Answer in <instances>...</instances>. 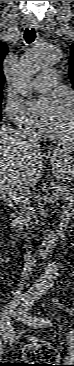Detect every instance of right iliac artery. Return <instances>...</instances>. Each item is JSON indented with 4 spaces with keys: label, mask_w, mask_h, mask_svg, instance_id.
Masks as SVG:
<instances>
[{
    "label": "right iliac artery",
    "mask_w": 74,
    "mask_h": 366,
    "mask_svg": "<svg viewBox=\"0 0 74 366\" xmlns=\"http://www.w3.org/2000/svg\"><path fill=\"white\" fill-rule=\"evenodd\" d=\"M21 300L26 301V297H22ZM14 306V301L10 302L8 307H6V310L3 312L2 322H1V328L5 336H7L8 339H10L11 342H15V332L11 326V323L8 318V314L10 313L12 307Z\"/></svg>",
    "instance_id": "obj_1"
}]
</instances>
